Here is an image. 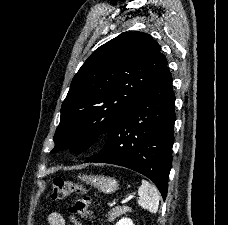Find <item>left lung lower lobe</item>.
Here are the masks:
<instances>
[{
	"label": "left lung lower lobe",
	"mask_w": 228,
	"mask_h": 225,
	"mask_svg": "<svg viewBox=\"0 0 228 225\" xmlns=\"http://www.w3.org/2000/svg\"><path fill=\"white\" fill-rule=\"evenodd\" d=\"M175 95L164 68L155 83L112 125L102 150L85 160L130 168L151 179L165 200L172 165Z\"/></svg>",
	"instance_id": "obj_1"
}]
</instances>
